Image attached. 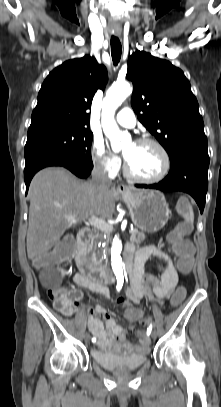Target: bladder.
<instances>
[{
    "label": "bladder",
    "mask_w": 221,
    "mask_h": 407,
    "mask_svg": "<svg viewBox=\"0 0 221 407\" xmlns=\"http://www.w3.org/2000/svg\"><path fill=\"white\" fill-rule=\"evenodd\" d=\"M92 360L102 368L110 371H127L140 368L147 361V350L125 355L115 350H91Z\"/></svg>",
    "instance_id": "bladder-1"
}]
</instances>
